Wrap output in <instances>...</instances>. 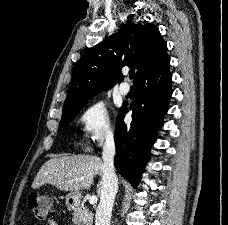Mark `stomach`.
Here are the masks:
<instances>
[{
    "mask_svg": "<svg viewBox=\"0 0 228 225\" xmlns=\"http://www.w3.org/2000/svg\"><path fill=\"white\" fill-rule=\"evenodd\" d=\"M80 199V193H68V195H66L67 207H77L80 203Z\"/></svg>",
    "mask_w": 228,
    "mask_h": 225,
    "instance_id": "0dacf381",
    "label": "stomach"
}]
</instances>
